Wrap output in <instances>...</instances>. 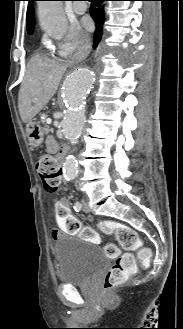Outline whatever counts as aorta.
I'll list each match as a JSON object with an SVG mask.
<instances>
[{
  "label": "aorta",
  "instance_id": "1",
  "mask_svg": "<svg viewBox=\"0 0 183 329\" xmlns=\"http://www.w3.org/2000/svg\"><path fill=\"white\" fill-rule=\"evenodd\" d=\"M38 16L41 28L54 38H62L68 29L61 1H40ZM96 72L88 66L74 69L66 78L62 91L65 115L62 132L71 144L77 143L85 124V101L94 89ZM64 177L68 181L76 178L78 165L73 155H68L63 165Z\"/></svg>",
  "mask_w": 183,
  "mask_h": 329
}]
</instances>
